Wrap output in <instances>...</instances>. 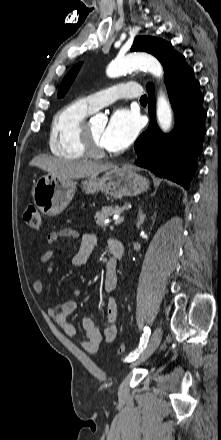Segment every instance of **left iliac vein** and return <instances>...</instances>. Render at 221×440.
Segmentation results:
<instances>
[{
	"mask_svg": "<svg viewBox=\"0 0 221 440\" xmlns=\"http://www.w3.org/2000/svg\"><path fill=\"white\" fill-rule=\"evenodd\" d=\"M162 338V329L161 327H157L151 335V338L148 342L145 350L140 354V356L132 362L131 366H136L141 362L145 361L158 347Z\"/></svg>",
	"mask_w": 221,
	"mask_h": 440,
	"instance_id": "4c4485c4",
	"label": "left iliac vein"
}]
</instances>
